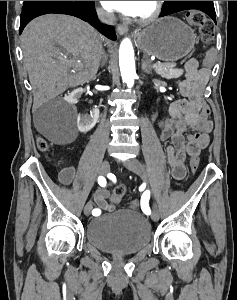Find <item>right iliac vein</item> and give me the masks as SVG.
Listing matches in <instances>:
<instances>
[{
  "instance_id": "63e3f726",
  "label": "right iliac vein",
  "mask_w": 237,
  "mask_h": 300,
  "mask_svg": "<svg viewBox=\"0 0 237 300\" xmlns=\"http://www.w3.org/2000/svg\"><path fill=\"white\" fill-rule=\"evenodd\" d=\"M109 169H110V164L107 160L103 161L101 163V167H100V174L101 175H106L108 172H109ZM93 202L90 201L88 202L85 207H84V214L85 215H89L90 212L92 211V208H93Z\"/></svg>"
}]
</instances>
